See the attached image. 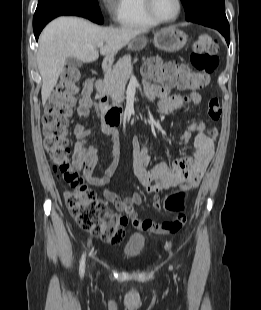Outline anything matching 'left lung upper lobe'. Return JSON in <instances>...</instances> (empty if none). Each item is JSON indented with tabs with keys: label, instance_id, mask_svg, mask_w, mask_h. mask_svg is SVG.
Listing matches in <instances>:
<instances>
[{
	"label": "left lung upper lobe",
	"instance_id": "left-lung-upper-lobe-1",
	"mask_svg": "<svg viewBox=\"0 0 261 310\" xmlns=\"http://www.w3.org/2000/svg\"><path fill=\"white\" fill-rule=\"evenodd\" d=\"M186 12V20L196 23L212 21L228 23L224 0H181Z\"/></svg>",
	"mask_w": 261,
	"mask_h": 310
}]
</instances>
